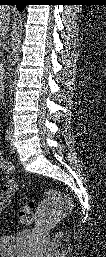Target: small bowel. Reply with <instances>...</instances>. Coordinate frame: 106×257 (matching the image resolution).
<instances>
[{
    "instance_id": "c3829d8e",
    "label": "small bowel",
    "mask_w": 106,
    "mask_h": 257,
    "mask_svg": "<svg viewBox=\"0 0 106 257\" xmlns=\"http://www.w3.org/2000/svg\"><path fill=\"white\" fill-rule=\"evenodd\" d=\"M0 169L3 173H6V174H13L15 172L13 165L9 161L4 160L3 158H1L0 160ZM17 187H18L17 182L13 179L8 180L2 186L1 194H0L1 208L7 206L10 203L12 196L17 190Z\"/></svg>"
}]
</instances>
